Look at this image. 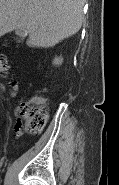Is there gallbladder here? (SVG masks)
I'll return each instance as SVG.
<instances>
[{
	"label": "gallbladder",
	"mask_w": 119,
	"mask_h": 185,
	"mask_svg": "<svg viewBox=\"0 0 119 185\" xmlns=\"http://www.w3.org/2000/svg\"><path fill=\"white\" fill-rule=\"evenodd\" d=\"M15 33L21 39H24L27 36V33L24 30H22V29H16Z\"/></svg>",
	"instance_id": "gallbladder-1"
}]
</instances>
